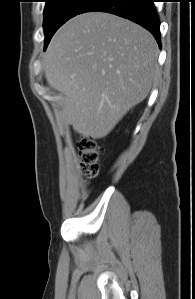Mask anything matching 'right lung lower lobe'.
Segmentation results:
<instances>
[{"label": "right lung lower lobe", "instance_id": "obj_1", "mask_svg": "<svg viewBox=\"0 0 195 299\" xmlns=\"http://www.w3.org/2000/svg\"><path fill=\"white\" fill-rule=\"evenodd\" d=\"M91 11L115 14L143 26L161 47L160 21L153 0H89L79 14Z\"/></svg>", "mask_w": 195, "mask_h": 299}]
</instances>
